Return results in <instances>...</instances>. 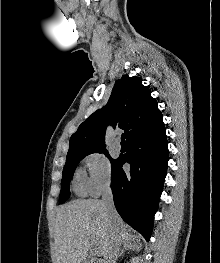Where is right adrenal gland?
Wrapping results in <instances>:
<instances>
[{
    "label": "right adrenal gland",
    "mask_w": 220,
    "mask_h": 263,
    "mask_svg": "<svg viewBox=\"0 0 220 263\" xmlns=\"http://www.w3.org/2000/svg\"><path fill=\"white\" fill-rule=\"evenodd\" d=\"M135 248V244H132L131 241L127 242V243H123V248L120 250V252L118 253V257L122 256V254L130 249H134Z\"/></svg>",
    "instance_id": "2a0ac1e0"
}]
</instances>
